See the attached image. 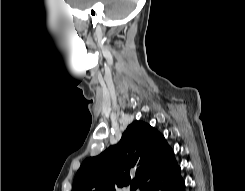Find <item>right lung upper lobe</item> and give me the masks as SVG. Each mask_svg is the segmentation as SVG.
<instances>
[{"mask_svg":"<svg viewBox=\"0 0 245 191\" xmlns=\"http://www.w3.org/2000/svg\"><path fill=\"white\" fill-rule=\"evenodd\" d=\"M177 164L165 138L149 124L135 121L115 146L87 158L73 181L72 191H116L137 180L148 191Z\"/></svg>","mask_w":245,"mask_h":191,"instance_id":"cb5924a9","label":"right lung upper lobe"}]
</instances>
